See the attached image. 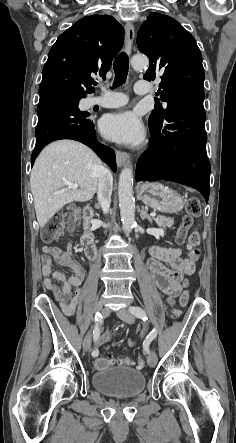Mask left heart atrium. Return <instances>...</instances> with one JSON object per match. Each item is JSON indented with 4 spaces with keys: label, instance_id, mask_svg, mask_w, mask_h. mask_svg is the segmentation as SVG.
I'll return each instance as SVG.
<instances>
[{
    "label": "left heart atrium",
    "instance_id": "obj_1",
    "mask_svg": "<svg viewBox=\"0 0 236 443\" xmlns=\"http://www.w3.org/2000/svg\"><path fill=\"white\" fill-rule=\"evenodd\" d=\"M104 134L119 143L138 144L145 132L141 119L132 111L109 115L103 123Z\"/></svg>",
    "mask_w": 236,
    "mask_h": 443
}]
</instances>
